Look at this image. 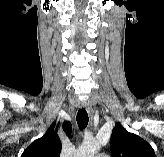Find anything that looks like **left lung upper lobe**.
<instances>
[{
  "label": "left lung upper lobe",
  "instance_id": "1",
  "mask_svg": "<svg viewBox=\"0 0 164 157\" xmlns=\"http://www.w3.org/2000/svg\"><path fill=\"white\" fill-rule=\"evenodd\" d=\"M110 148L112 157H156L148 142L127 132L119 123L112 130Z\"/></svg>",
  "mask_w": 164,
  "mask_h": 157
}]
</instances>
